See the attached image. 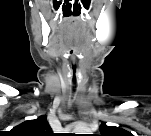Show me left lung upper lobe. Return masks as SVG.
<instances>
[{"label": "left lung upper lobe", "instance_id": "5c2ea615", "mask_svg": "<svg viewBox=\"0 0 151 136\" xmlns=\"http://www.w3.org/2000/svg\"><path fill=\"white\" fill-rule=\"evenodd\" d=\"M99 130L103 136H117L123 133L120 128L107 126L105 123L100 126Z\"/></svg>", "mask_w": 151, "mask_h": 136}]
</instances>
